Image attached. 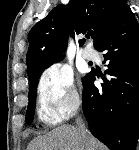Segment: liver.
Here are the masks:
<instances>
[{"label":"liver","mask_w":139,"mask_h":150,"mask_svg":"<svg viewBox=\"0 0 139 150\" xmlns=\"http://www.w3.org/2000/svg\"><path fill=\"white\" fill-rule=\"evenodd\" d=\"M27 150H105L91 134L79 135L74 126L63 125L35 138Z\"/></svg>","instance_id":"liver-1"}]
</instances>
